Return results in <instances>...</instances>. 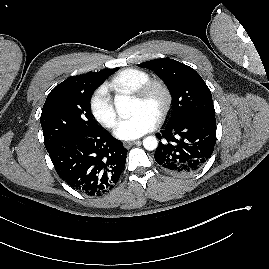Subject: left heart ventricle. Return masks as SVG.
<instances>
[{
	"label": "left heart ventricle",
	"instance_id": "left-heart-ventricle-1",
	"mask_svg": "<svg viewBox=\"0 0 269 269\" xmlns=\"http://www.w3.org/2000/svg\"><path fill=\"white\" fill-rule=\"evenodd\" d=\"M162 102L163 96L159 91H154L145 101H140L134 98L131 113L135 114L140 110H146L157 117Z\"/></svg>",
	"mask_w": 269,
	"mask_h": 269
}]
</instances>
